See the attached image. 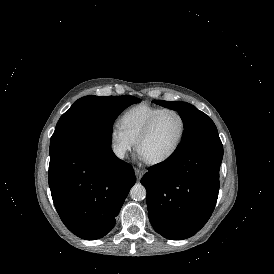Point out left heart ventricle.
<instances>
[{
    "label": "left heart ventricle",
    "instance_id": "b2bd125f",
    "mask_svg": "<svg viewBox=\"0 0 274 274\" xmlns=\"http://www.w3.org/2000/svg\"><path fill=\"white\" fill-rule=\"evenodd\" d=\"M181 121L175 113H165L151 133L141 142L139 155L144 161L166 156L174 146L180 132Z\"/></svg>",
    "mask_w": 274,
    "mask_h": 274
}]
</instances>
